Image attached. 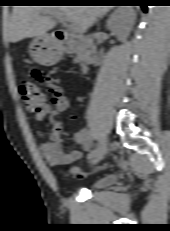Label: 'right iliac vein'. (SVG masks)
<instances>
[{"label": "right iliac vein", "instance_id": "obj_1", "mask_svg": "<svg viewBox=\"0 0 170 231\" xmlns=\"http://www.w3.org/2000/svg\"><path fill=\"white\" fill-rule=\"evenodd\" d=\"M108 151V139L103 137L99 143L96 154L90 159L91 164H96L101 161Z\"/></svg>", "mask_w": 170, "mask_h": 231}]
</instances>
